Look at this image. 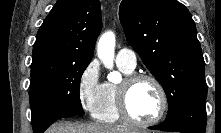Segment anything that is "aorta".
Returning <instances> with one entry per match:
<instances>
[{"instance_id":"762f6f07","label":"aorta","mask_w":221,"mask_h":133,"mask_svg":"<svg viewBox=\"0 0 221 133\" xmlns=\"http://www.w3.org/2000/svg\"><path fill=\"white\" fill-rule=\"evenodd\" d=\"M114 48H115V35L113 32L108 31L104 33L97 45V55L98 58L103 62L105 67L109 70L113 69L114 61ZM108 80L110 82L120 81L121 75L117 71H111L108 74Z\"/></svg>"}]
</instances>
